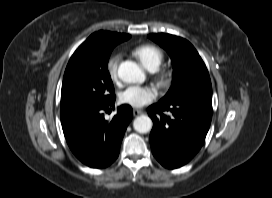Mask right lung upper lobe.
I'll use <instances>...</instances> for the list:
<instances>
[{
    "label": "right lung upper lobe",
    "mask_w": 272,
    "mask_h": 198,
    "mask_svg": "<svg viewBox=\"0 0 272 198\" xmlns=\"http://www.w3.org/2000/svg\"><path fill=\"white\" fill-rule=\"evenodd\" d=\"M131 36L128 34H121L109 31H98L93 33L84 43H82L78 49L74 52L70 58L65 71L77 66L79 62L88 54H91L98 47L104 44L112 42H122L129 39Z\"/></svg>",
    "instance_id": "right-lung-upper-lobe-1"
}]
</instances>
